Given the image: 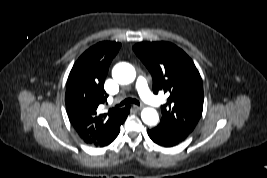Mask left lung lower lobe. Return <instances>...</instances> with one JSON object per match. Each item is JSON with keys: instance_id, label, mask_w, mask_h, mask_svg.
<instances>
[{"instance_id": "0a47b994", "label": "left lung lower lobe", "mask_w": 267, "mask_h": 178, "mask_svg": "<svg viewBox=\"0 0 267 178\" xmlns=\"http://www.w3.org/2000/svg\"><path fill=\"white\" fill-rule=\"evenodd\" d=\"M148 135L154 143L163 147H172L185 140L173 133L167 126L160 124L148 130Z\"/></svg>"}]
</instances>
